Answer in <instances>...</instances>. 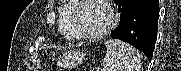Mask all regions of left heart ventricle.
Returning <instances> with one entry per match:
<instances>
[{"label":"left heart ventricle","mask_w":181,"mask_h":71,"mask_svg":"<svg viewBox=\"0 0 181 71\" xmlns=\"http://www.w3.org/2000/svg\"><path fill=\"white\" fill-rule=\"evenodd\" d=\"M108 22V12L97 2L88 1L79 14L78 29L82 33L93 34L106 27Z\"/></svg>","instance_id":"1"}]
</instances>
